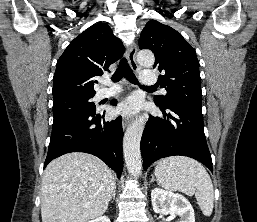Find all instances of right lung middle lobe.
<instances>
[{
  "label": "right lung middle lobe",
  "mask_w": 257,
  "mask_h": 222,
  "mask_svg": "<svg viewBox=\"0 0 257 222\" xmlns=\"http://www.w3.org/2000/svg\"><path fill=\"white\" fill-rule=\"evenodd\" d=\"M91 96L76 97L53 103L54 121L70 115H88L96 113V106Z\"/></svg>",
  "instance_id": "dd1d6c3e"
}]
</instances>
